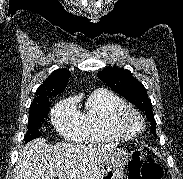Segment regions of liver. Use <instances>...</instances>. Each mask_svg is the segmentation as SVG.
<instances>
[{
	"label": "liver",
	"mask_w": 183,
	"mask_h": 179,
	"mask_svg": "<svg viewBox=\"0 0 183 179\" xmlns=\"http://www.w3.org/2000/svg\"><path fill=\"white\" fill-rule=\"evenodd\" d=\"M117 144L50 145L43 138L26 144L13 179H96Z\"/></svg>",
	"instance_id": "obj_1"
}]
</instances>
